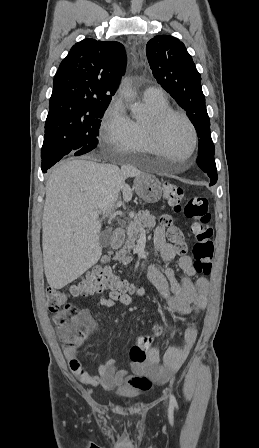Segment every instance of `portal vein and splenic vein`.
I'll use <instances>...</instances> for the list:
<instances>
[{
    "mask_svg": "<svg viewBox=\"0 0 259 448\" xmlns=\"http://www.w3.org/2000/svg\"><path fill=\"white\" fill-rule=\"evenodd\" d=\"M92 216H93V218H99V214H97V212H92ZM127 220H128V218H127ZM141 230H142V234H145L144 228H141Z\"/></svg>",
    "mask_w": 259,
    "mask_h": 448,
    "instance_id": "1",
    "label": "portal vein and splenic vein"
}]
</instances>
